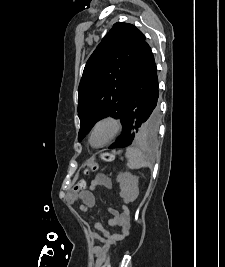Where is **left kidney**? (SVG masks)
Listing matches in <instances>:
<instances>
[{
    "instance_id": "left-kidney-1",
    "label": "left kidney",
    "mask_w": 225,
    "mask_h": 267,
    "mask_svg": "<svg viewBox=\"0 0 225 267\" xmlns=\"http://www.w3.org/2000/svg\"><path fill=\"white\" fill-rule=\"evenodd\" d=\"M117 182L120 184V196L126 204L133 202L139 195L138 177L125 172L117 176Z\"/></svg>"
}]
</instances>
